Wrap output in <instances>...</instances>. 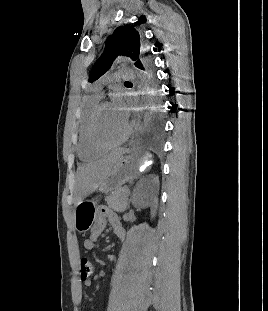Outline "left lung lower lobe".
<instances>
[{
    "label": "left lung lower lobe",
    "instance_id": "1",
    "mask_svg": "<svg viewBox=\"0 0 268 311\" xmlns=\"http://www.w3.org/2000/svg\"><path fill=\"white\" fill-rule=\"evenodd\" d=\"M138 69L143 78L146 89L153 95H157L158 84L153 60L148 56H143ZM163 121V110L159 99L155 100L150 110L145 116L142 141H163L165 139V132H160Z\"/></svg>",
    "mask_w": 268,
    "mask_h": 311
}]
</instances>
